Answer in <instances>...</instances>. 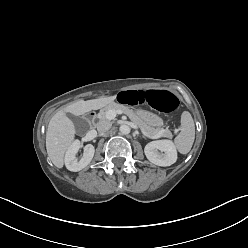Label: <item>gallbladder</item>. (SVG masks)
<instances>
[{"mask_svg":"<svg viewBox=\"0 0 248 248\" xmlns=\"http://www.w3.org/2000/svg\"><path fill=\"white\" fill-rule=\"evenodd\" d=\"M69 117L73 121L77 131H79V132L86 131V129L88 127V123L86 120H84L83 118H80L78 116L72 115V114H70Z\"/></svg>","mask_w":248,"mask_h":248,"instance_id":"obj_1","label":"gallbladder"}]
</instances>
